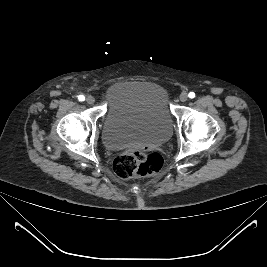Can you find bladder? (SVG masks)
Here are the masks:
<instances>
[{
	"mask_svg": "<svg viewBox=\"0 0 267 267\" xmlns=\"http://www.w3.org/2000/svg\"><path fill=\"white\" fill-rule=\"evenodd\" d=\"M167 90L151 81H120L109 87L102 141L112 150L137 144H161L172 133Z\"/></svg>",
	"mask_w": 267,
	"mask_h": 267,
	"instance_id": "1",
	"label": "bladder"
}]
</instances>
